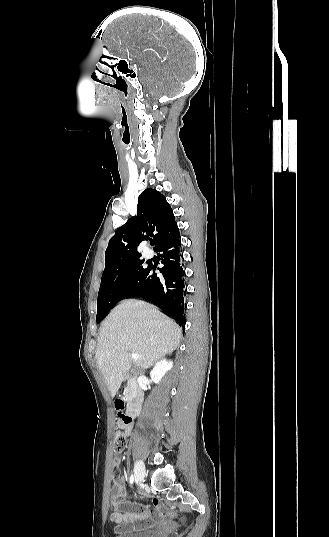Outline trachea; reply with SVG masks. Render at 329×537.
<instances>
[{"mask_svg":"<svg viewBox=\"0 0 329 537\" xmlns=\"http://www.w3.org/2000/svg\"><path fill=\"white\" fill-rule=\"evenodd\" d=\"M151 245H154V241H151Z\"/></svg>","mask_w":329,"mask_h":537,"instance_id":"3493384b","label":"trachea"}]
</instances>
